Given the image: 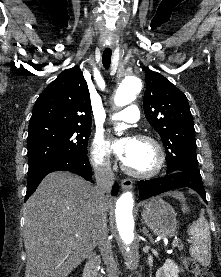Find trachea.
I'll return each instance as SVG.
<instances>
[{"instance_id":"1","label":"trachea","mask_w":221,"mask_h":277,"mask_svg":"<svg viewBox=\"0 0 221 277\" xmlns=\"http://www.w3.org/2000/svg\"><path fill=\"white\" fill-rule=\"evenodd\" d=\"M111 56L112 52L111 51H104L102 55V63L105 69H109L110 64H111Z\"/></svg>"}]
</instances>
